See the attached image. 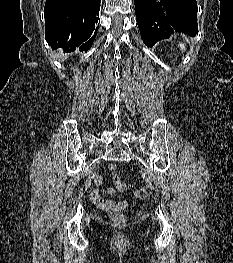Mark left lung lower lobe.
Masks as SVG:
<instances>
[{
    "instance_id": "1",
    "label": "left lung lower lobe",
    "mask_w": 233,
    "mask_h": 263,
    "mask_svg": "<svg viewBox=\"0 0 233 263\" xmlns=\"http://www.w3.org/2000/svg\"><path fill=\"white\" fill-rule=\"evenodd\" d=\"M143 42L152 47L174 32L198 33L196 0H134Z\"/></svg>"
}]
</instances>
